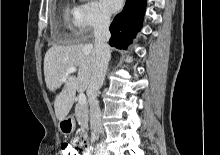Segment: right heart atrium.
<instances>
[{
	"label": "right heart atrium",
	"mask_w": 220,
	"mask_h": 155,
	"mask_svg": "<svg viewBox=\"0 0 220 155\" xmlns=\"http://www.w3.org/2000/svg\"><path fill=\"white\" fill-rule=\"evenodd\" d=\"M109 24V14L98 3L89 1L78 6L76 27L80 34L89 35L108 27Z\"/></svg>",
	"instance_id": "1"
}]
</instances>
